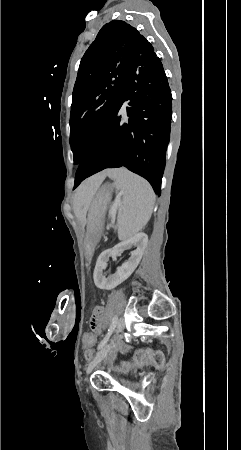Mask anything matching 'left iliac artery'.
Returning <instances> with one entry per match:
<instances>
[{"instance_id": "left-iliac-artery-1", "label": "left iliac artery", "mask_w": 241, "mask_h": 450, "mask_svg": "<svg viewBox=\"0 0 241 450\" xmlns=\"http://www.w3.org/2000/svg\"><path fill=\"white\" fill-rule=\"evenodd\" d=\"M117 323H118V318H117V316H114L106 336L103 338V340L98 345V349L103 348V346L107 343V341H108L110 335L112 334L113 330L115 329Z\"/></svg>"}]
</instances>
